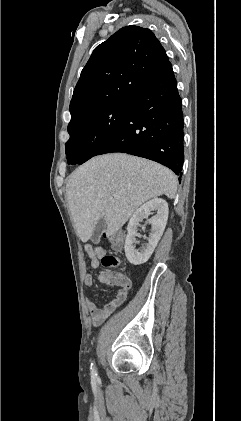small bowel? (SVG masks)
<instances>
[{
  "mask_svg": "<svg viewBox=\"0 0 241 421\" xmlns=\"http://www.w3.org/2000/svg\"><path fill=\"white\" fill-rule=\"evenodd\" d=\"M86 253L90 259V264L92 268H98L100 264V259L106 255V251L102 247H85ZM99 280L104 284H112L113 282L106 281L101 275H99ZM85 286L89 287L90 289L94 290V280L91 275H86L84 278ZM121 288L117 292L114 299L105 303L102 306H98L91 300L85 298L84 304L87 308L88 315L90 318L91 323L93 326L101 325L107 317L112 314L119 306H121L128 294V290L130 289L131 282L127 279L125 284H118Z\"/></svg>",
  "mask_w": 241,
  "mask_h": 421,
  "instance_id": "c3829d8e",
  "label": "small bowel"
}]
</instances>
